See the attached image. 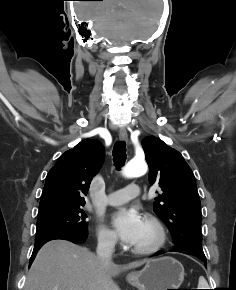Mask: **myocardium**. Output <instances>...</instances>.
Listing matches in <instances>:
<instances>
[{
	"mask_svg": "<svg viewBox=\"0 0 236 290\" xmlns=\"http://www.w3.org/2000/svg\"><path fill=\"white\" fill-rule=\"evenodd\" d=\"M144 223L152 229L154 233V238L147 245L131 247V251L138 255L153 254L159 251L166 241L165 228L157 217L151 214H146L144 217Z\"/></svg>",
	"mask_w": 236,
	"mask_h": 290,
	"instance_id": "f54148a6",
	"label": "myocardium"
}]
</instances>
